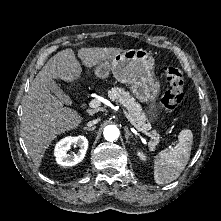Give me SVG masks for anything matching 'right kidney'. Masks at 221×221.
Listing matches in <instances>:
<instances>
[{
	"label": "right kidney",
	"mask_w": 221,
	"mask_h": 221,
	"mask_svg": "<svg viewBox=\"0 0 221 221\" xmlns=\"http://www.w3.org/2000/svg\"><path fill=\"white\" fill-rule=\"evenodd\" d=\"M78 146L79 151L76 154H68L71 146ZM88 148V140L84 136H68L60 140L54 149V156L58 164L62 166H74L81 162Z\"/></svg>",
	"instance_id": "1"
}]
</instances>
